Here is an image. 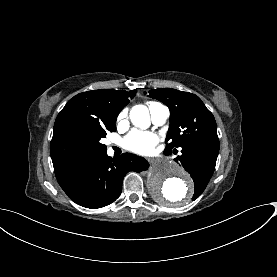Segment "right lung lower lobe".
Returning <instances> with one entry per match:
<instances>
[{
    "instance_id": "right-lung-lower-lobe-1",
    "label": "right lung lower lobe",
    "mask_w": 277,
    "mask_h": 277,
    "mask_svg": "<svg viewBox=\"0 0 277 277\" xmlns=\"http://www.w3.org/2000/svg\"><path fill=\"white\" fill-rule=\"evenodd\" d=\"M148 167V162L142 157L124 153L112 159L105 150L54 171L58 183L71 200L95 209L111 204L120 196L123 178L129 171L141 172Z\"/></svg>"
}]
</instances>
